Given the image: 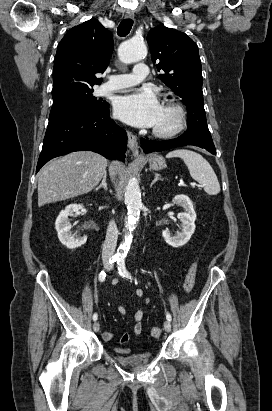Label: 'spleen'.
Segmentation results:
<instances>
[{"label":"spleen","instance_id":"1","mask_svg":"<svg viewBox=\"0 0 272 411\" xmlns=\"http://www.w3.org/2000/svg\"><path fill=\"white\" fill-rule=\"evenodd\" d=\"M173 157H179L184 161L191 177L203 185L208 195H217L220 192L218 178L202 155L187 149H176L166 155V158Z\"/></svg>","mask_w":272,"mask_h":411}]
</instances>
